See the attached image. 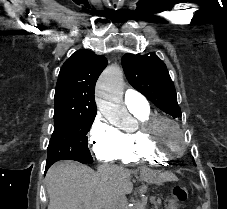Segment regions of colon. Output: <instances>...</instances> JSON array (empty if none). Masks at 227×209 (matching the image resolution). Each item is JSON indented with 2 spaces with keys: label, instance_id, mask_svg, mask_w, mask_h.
I'll list each match as a JSON object with an SVG mask.
<instances>
[{
  "label": "colon",
  "instance_id": "5ec220e1",
  "mask_svg": "<svg viewBox=\"0 0 227 209\" xmlns=\"http://www.w3.org/2000/svg\"><path fill=\"white\" fill-rule=\"evenodd\" d=\"M173 193L177 200L183 202L187 197V188L185 186H178L173 189Z\"/></svg>",
  "mask_w": 227,
  "mask_h": 209
}]
</instances>
